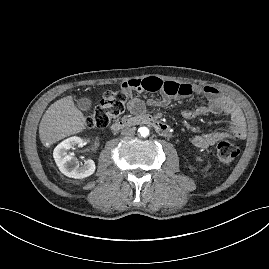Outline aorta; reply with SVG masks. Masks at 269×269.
<instances>
[{
	"label": "aorta",
	"mask_w": 269,
	"mask_h": 269,
	"mask_svg": "<svg viewBox=\"0 0 269 269\" xmlns=\"http://www.w3.org/2000/svg\"><path fill=\"white\" fill-rule=\"evenodd\" d=\"M138 133L141 137H147L150 134V131L147 127L143 126L138 129Z\"/></svg>",
	"instance_id": "1"
}]
</instances>
